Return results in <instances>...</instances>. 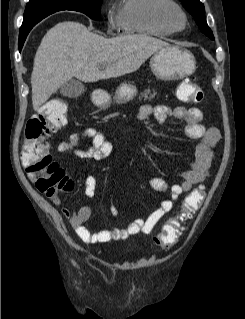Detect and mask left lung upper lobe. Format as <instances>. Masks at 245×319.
<instances>
[{
  "instance_id": "left-lung-upper-lobe-1",
  "label": "left lung upper lobe",
  "mask_w": 245,
  "mask_h": 319,
  "mask_svg": "<svg viewBox=\"0 0 245 319\" xmlns=\"http://www.w3.org/2000/svg\"><path fill=\"white\" fill-rule=\"evenodd\" d=\"M180 1L184 4L187 10L192 14L200 30L205 35H207L210 39L214 40L213 33L208 27L206 19H205L204 5L199 0H180Z\"/></svg>"
}]
</instances>
